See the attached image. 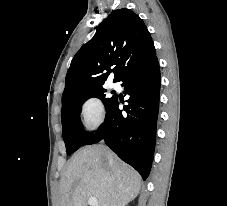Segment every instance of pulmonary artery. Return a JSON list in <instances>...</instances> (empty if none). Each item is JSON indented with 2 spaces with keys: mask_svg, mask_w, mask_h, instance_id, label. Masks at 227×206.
I'll return each instance as SVG.
<instances>
[{
  "mask_svg": "<svg viewBox=\"0 0 227 206\" xmlns=\"http://www.w3.org/2000/svg\"><path fill=\"white\" fill-rule=\"evenodd\" d=\"M112 87L117 90L120 88V84L117 82H114V83H112Z\"/></svg>",
  "mask_w": 227,
  "mask_h": 206,
  "instance_id": "e3ab8cb5",
  "label": "pulmonary artery"
}]
</instances>
